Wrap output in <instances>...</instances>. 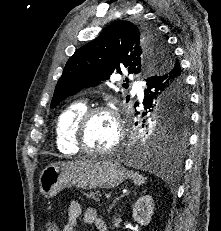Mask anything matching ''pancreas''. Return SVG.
Wrapping results in <instances>:
<instances>
[{"label":"pancreas","instance_id":"cf45deb5","mask_svg":"<svg viewBox=\"0 0 221 231\" xmlns=\"http://www.w3.org/2000/svg\"><path fill=\"white\" fill-rule=\"evenodd\" d=\"M86 196L87 198H92L95 201H99L97 192H90L89 194H86Z\"/></svg>","mask_w":221,"mask_h":231}]
</instances>
